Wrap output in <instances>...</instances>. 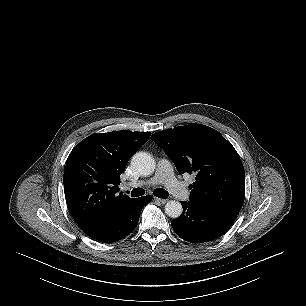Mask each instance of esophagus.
Wrapping results in <instances>:
<instances>
[{
    "instance_id": "34e87169",
    "label": "esophagus",
    "mask_w": 306,
    "mask_h": 306,
    "mask_svg": "<svg viewBox=\"0 0 306 306\" xmlns=\"http://www.w3.org/2000/svg\"><path fill=\"white\" fill-rule=\"evenodd\" d=\"M154 201L159 202L161 204H165L168 200L167 199L158 198V197H154Z\"/></svg>"
}]
</instances>
